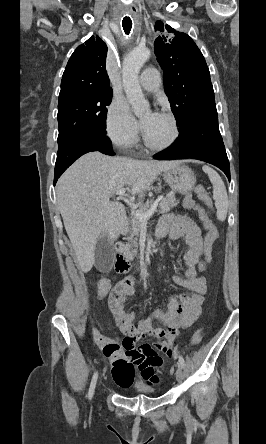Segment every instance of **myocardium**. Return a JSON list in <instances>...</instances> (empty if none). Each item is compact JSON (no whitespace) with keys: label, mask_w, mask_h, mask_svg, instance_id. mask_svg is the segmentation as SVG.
Returning a JSON list of instances; mask_svg holds the SVG:
<instances>
[{"label":"myocardium","mask_w":266,"mask_h":444,"mask_svg":"<svg viewBox=\"0 0 266 444\" xmlns=\"http://www.w3.org/2000/svg\"><path fill=\"white\" fill-rule=\"evenodd\" d=\"M161 114L164 115L165 117H167L171 121L172 127H173V134H172L171 138L165 144L156 145L150 141V139L148 138V136L143 128L142 129V137H143L144 144L146 145L147 148H149L150 150H153V151H163V150L171 148L176 143V141L178 140L179 135H180L179 123H178L177 118L174 116V114H172L169 111H162Z\"/></svg>","instance_id":"f54148a6"}]
</instances>
